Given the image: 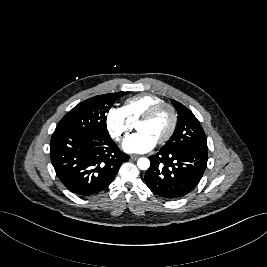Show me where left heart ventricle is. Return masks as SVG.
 Wrapping results in <instances>:
<instances>
[{
	"mask_svg": "<svg viewBox=\"0 0 267 267\" xmlns=\"http://www.w3.org/2000/svg\"><path fill=\"white\" fill-rule=\"evenodd\" d=\"M171 124V116L168 110H162L152 120L141 122L137 125L139 132H144L157 141L168 131Z\"/></svg>",
	"mask_w": 267,
	"mask_h": 267,
	"instance_id": "left-heart-ventricle-1",
	"label": "left heart ventricle"
}]
</instances>
